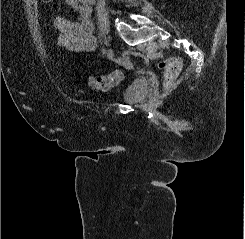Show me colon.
<instances>
[{
  "instance_id": "5ec220e1",
  "label": "colon",
  "mask_w": 245,
  "mask_h": 239,
  "mask_svg": "<svg viewBox=\"0 0 245 239\" xmlns=\"http://www.w3.org/2000/svg\"><path fill=\"white\" fill-rule=\"evenodd\" d=\"M52 0H42L44 3H50ZM158 67L164 72L165 86L172 85L181 71L182 62L178 57H168L158 63ZM123 79L121 71L116 70L107 75L90 76L87 78L88 85L99 91H108L116 86Z\"/></svg>"
}]
</instances>
